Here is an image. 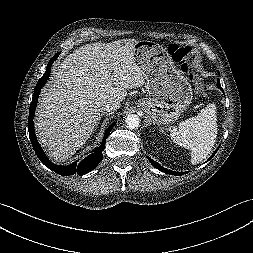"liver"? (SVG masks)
I'll return each mask as SVG.
<instances>
[{
	"mask_svg": "<svg viewBox=\"0 0 253 253\" xmlns=\"http://www.w3.org/2000/svg\"><path fill=\"white\" fill-rule=\"evenodd\" d=\"M137 40L86 44L69 54L39 99L36 131L57 162L71 157L92 135L101 118V103L122 102L127 90L146 86L136 63Z\"/></svg>",
	"mask_w": 253,
	"mask_h": 253,
	"instance_id": "obj_1",
	"label": "liver"
}]
</instances>
